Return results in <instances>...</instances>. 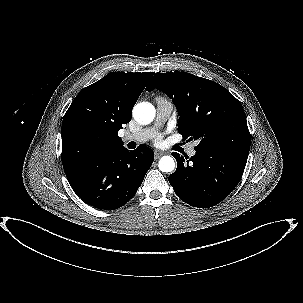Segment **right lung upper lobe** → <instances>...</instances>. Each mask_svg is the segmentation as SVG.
<instances>
[{
  "label": "right lung upper lobe",
  "instance_id": "obj_1",
  "mask_svg": "<svg viewBox=\"0 0 303 303\" xmlns=\"http://www.w3.org/2000/svg\"><path fill=\"white\" fill-rule=\"evenodd\" d=\"M153 74L112 72L75 97L61 128L65 174L123 147L118 131L130 122L132 108Z\"/></svg>",
  "mask_w": 303,
  "mask_h": 303
}]
</instances>
